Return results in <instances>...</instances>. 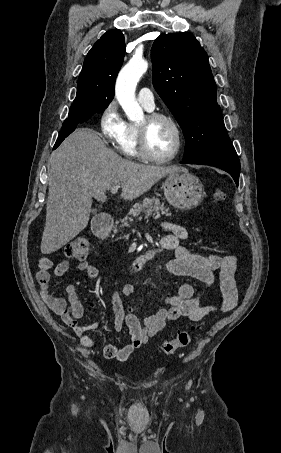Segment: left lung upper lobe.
Instances as JSON below:
<instances>
[{"label": "left lung upper lobe", "instance_id": "left-lung-upper-lobe-1", "mask_svg": "<svg viewBox=\"0 0 281 453\" xmlns=\"http://www.w3.org/2000/svg\"><path fill=\"white\" fill-rule=\"evenodd\" d=\"M153 85L183 130V160L235 152L216 101L208 56L190 33L159 36L151 49Z\"/></svg>", "mask_w": 281, "mask_h": 453}]
</instances>
